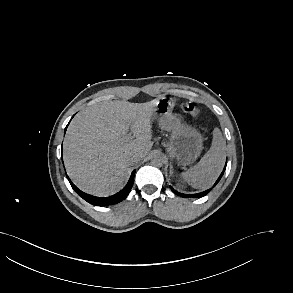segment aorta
Here are the masks:
<instances>
[{"mask_svg": "<svg viewBox=\"0 0 293 293\" xmlns=\"http://www.w3.org/2000/svg\"><path fill=\"white\" fill-rule=\"evenodd\" d=\"M166 162V157L162 153H155L151 158V163L155 166H163Z\"/></svg>", "mask_w": 293, "mask_h": 293, "instance_id": "1", "label": "aorta"}]
</instances>
